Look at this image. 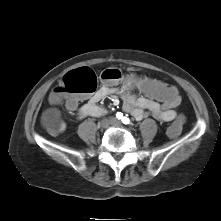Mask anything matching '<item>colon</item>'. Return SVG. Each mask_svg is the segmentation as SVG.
Wrapping results in <instances>:
<instances>
[{"mask_svg":"<svg viewBox=\"0 0 221 221\" xmlns=\"http://www.w3.org/2000/svg\"><path fill=\"white\" fill-rule=\"evenodd\" d=\"M100 78L106 83H113L121 78L117 69L104 70ZM98 78L95 72L82 67L67 73L62 82L54 89L51 101L54 104L66 100V105L79 95L90 94L96 91ZM131 90L139 95H145L153 101H158L166 107H175L179 103L180 91L169 83L162 82L154 75L136 72L129 79ZM172 125L166 128V135L169 138H176L182 128L188 125V118L185 115H177L171 121Z\"/></svg>","mask_w":221,"mask_h":221,"instance_id":"5ec220e1","label":"colon"}]
</instances>
